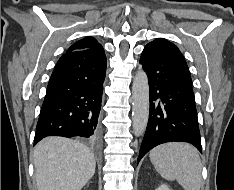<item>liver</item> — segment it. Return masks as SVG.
Listing matches in <instances>:
<instances>
[{
    "mask_svg": "<svg viewBox=\"0 0 234 190\" xmlns=\"http://www.w3.org/2000/svg\"><path fill=\"white\" fill-rule=\"evenodd\" d=\"M38 190H81L95 173L93 153L82 143L47 137L34 150Z\"/></svg>",
    "mask_w": 234,
    "mask_h": 190,
    "instance_id": "6515ba94",
    "label": "liver"
}]
</instances>
